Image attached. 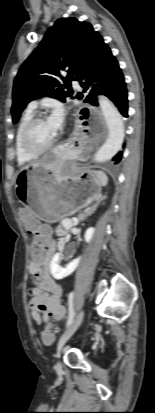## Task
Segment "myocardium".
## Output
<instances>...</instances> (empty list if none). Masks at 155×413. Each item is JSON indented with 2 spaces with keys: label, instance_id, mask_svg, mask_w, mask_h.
<instances>
[{
  "label": "myocardium",
  "instance_id": "1",
  "mask_svg": "<svg viewBox=\"0 0 155 413\" xmlns=\"http://www.w3.org/2000/svg\"><path fill=\"white\" fill-rule=\"evenodd\" d=\"M46 120L42 115L33 116L25 125L22 132V146L26 153L32 156H39L54 147L56 137L45 146H36L32 141V132L34 127L41 121Z\"/></svg>",
  "mask_w": 155,
  "mask_h": 413
}]
</instances>
